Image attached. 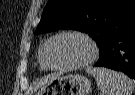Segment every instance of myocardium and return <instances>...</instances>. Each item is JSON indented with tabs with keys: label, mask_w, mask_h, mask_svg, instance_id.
<instances>
[{
	"label": "myocardium",
	"mask_w": 135,
	"mask_h": 95,
	"mask_svg": "<svg viewBox=\"0 0 135 95\" xmlns=\"http://www.w3.org/2000/svg\"><path fill=\"white\" fill-rule=\"evenodd\" d=\"M66 36H75V37H79V38L83 39L84 41H86V43L88 44V46L90 48V55L84 61L77 63V64H73V65H69V66L54 65L50 58V52H51L52 45L59 38L66 37ZM97 55H98V46H97L96 42L88 34L81 32V31L70 30V31L60 32L50 38V40L47 44L46 50H45L44 57H45V63L49 69L59 70V71H72V70H77V69L86 67L87 65H89L96 59Z\"/></svg>",
	"instance_id": "myocardium-1"
}]
</instances>
